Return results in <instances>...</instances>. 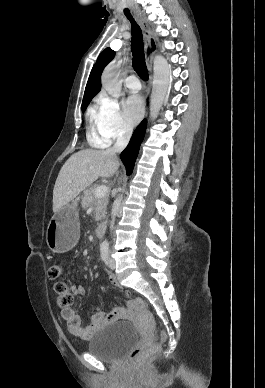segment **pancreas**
<instances>
[{
  "instance_id": "pancreas-1",
  "label": "pancreas",
  "mask_w": 265,
  "mask_h": 388,
  "mask_svg": "<svg viewBox=\"0 0 265 388\" xmlns=\"http://www.w3.org/2000/svg\"><path fill=\"white\" fill-rule=\"evenodd\" d=\"M97 188H99V184L90 186L88 190H84L81 198V206L84 210L91 208V206H95V222H99L101 218H104L109 198L108 194L107 196H104V198H95V190H97Z\"/></svg>"
}]
</instances>
